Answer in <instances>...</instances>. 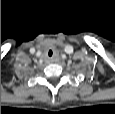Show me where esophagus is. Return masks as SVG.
Wrapping results in <instances>:
<instances>
[{"instance_id":"1","label":"esophagus","mask_w":115,"mask_h":114,"mask_svg":"<svg viewBox=\"0 0 115 114\" xmlns=\"http://www.w3.org/2000/svg\"><path fill=\"white\" fill-rule=\"evenodd\" d=\"M49 62H55V58H49Z\"/></svg>"}]
</instances>
